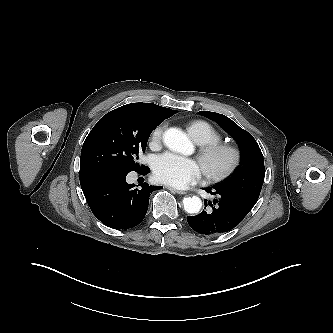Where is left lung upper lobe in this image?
<instances>
[{"mask_svg":"<svg viewBox=\"0 0 333 333\" xmlns=\"http://www.w3.org/2000/svg\"><path fill=\"white\" fill-rule=\"evenodd\" d=\"M199 114L218 123L240 146L242 166L228 180L215 185L226 192L258 200L265 176L263 154L254 137L240 128L230 118L214 112L201 111Z\"/></svg>","mask_w":333,"mask_h":333,"instance_id":"left-lung-upper-lobe-1","label":"left lung upper lobe"}]
</instances>
